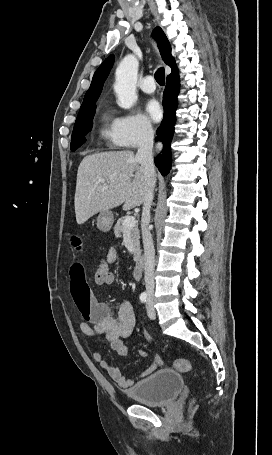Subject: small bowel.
Here are the masks:
<instances>
[{
    "label": "small bowel",
    "mask_w": 272,
    "mask_h": 455,
    "mask_svg": "<svg viewBox=\"0 0 272 455\" xmlns=\"http://www.w3.org/2000/svg\"><path fill=\"white\" fill-rule=\"evenodd\" d=\"M78 240L74 239L77 246ZM106 259L109 264H115L118 255L115 249L107 252ZM70 291L74 303L81 315L78 324L80 331L87 336L104 335L110 345L121 355H125L128 347L125 340L132 334L135 326V315L132 305L122 302L114 312L107 304L98 302L92 294L86 279L84 268L79 263H74L70 268ZM113 280L110 282L112 283ZM142 356L146 351L142 350ZM93 359L111 379L121 388L131 387L138 378L145 377L163 365L159 355L154 356L152 364L137 379L126 378L119 368L108 362L101 352H94Z\"/></svg>",
    "instance_id": "obj_1"
}]
</instances>
